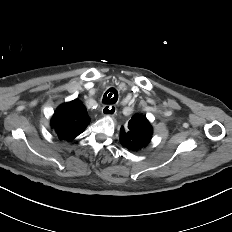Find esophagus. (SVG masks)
Masks as SVG:
<instances>
[{
	"label": "esophagus",
	"mask_w": 232,
	"mask_h": 232,
	"mask_svg": "<svg viewBox=\"0 0 232 232\" xmlns=\"http://www.w3.org/2000/svg\"><path fill=\"white\" fill-rule=\"evenodd\" d=\"M102 113H103L105 116H113V115H115V113H116V107H115V106H112V105H105V106H103V108H102Z\"/></svg>",
	"instance_id": "obj_1"
}]
</instances>
